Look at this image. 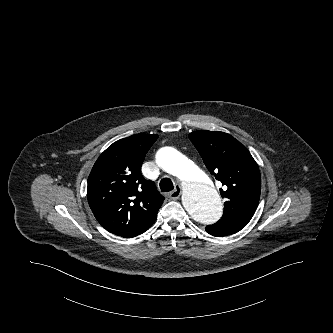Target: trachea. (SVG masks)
Returning a JSON list of instances; mask_svg holds the SVG:
<instances>
[{"mask_svg":"<svg viewBox=\"0 0 333 333\" xmlns=\"http://www.w3.org/2000/svg\"><path fill=\"white\" fill-rule=\"evenodd\" d=\"M160 189L162 192H169L174 189L173 183L169 178H163L160 181Z\"/></svg>","mask_w":333,"mask_h":333,"instance_id":"trachea-1","label":"trachea"}]
</instances>
